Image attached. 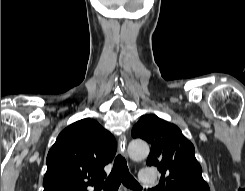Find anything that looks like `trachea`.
<instances>
[{
  "label": "trachea",
  "mask_w": 245,
  "mask_h": 191,
  "mask_svg": "<svg viewBox=\"0 0 245 191\" xmlns=\"http://www.w3.org/2000/svg\"><path fill=\"white\" fill-rule=\"evenodd\" d=\"M121 182L130 189H142L135 178L130 174L125 158L118 155L115 158L113 169L103 185V190L118 191Z\"/></svg>",
  "instance_id": "trachea-1"
}]
</instances>
